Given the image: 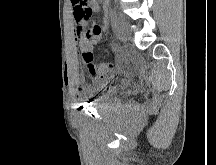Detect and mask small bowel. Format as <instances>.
<instances>
[{
    "instance_id": "c3829d8e",
    "label": "small bowel",
    "mask_w": 216,
    "mask_h": 165,
    "mask_svg": "<svg viewBox=\"0 0 216 165\" xmlns=\"http://www.w3.org/2000/svg\"><path fill=\"white\" fill-rule=\"evenodd\" d=\"M71 2L73 6V18L75 21L74 37L76 40L83 42L86 40V32L84 31V29L88 25V21L91 14L99 11V3L98 0H89L88 2H83V5H75L72 0ZM81 13H88V15H83ZM106 26L107 17L104 18L103 28H106ZM96 43L97 42L92 43L91 46H93ZM90 72L93 75H96L92 70H90ZM75 96L77 98H80L81 93L79 91H76Z\"/></svg>"
}]
</instances>
